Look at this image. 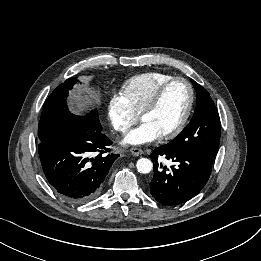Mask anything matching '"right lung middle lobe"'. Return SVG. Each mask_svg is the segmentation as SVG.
<instances>
[{"label": "right lung middle lobe", "instance_id": "obj_1", "mask_svg": "<svg viewBox=\"0 0 261 261\" xmlns=\"http://www.w3.org/2000/svg\"><path fill=\"white\" fill-rule=\"evenodd\" d=\"M75 82L76 78H69L60 84L44 103L38 125L40 143L52 139L61 132L79 123H87L94 127L101 128L97 110H93L85 116H77L69 111L66 98L68 91Z\"/></svg>", "mask_w": 261, "mask_h": 261}]
</instances>
